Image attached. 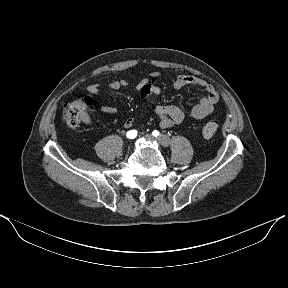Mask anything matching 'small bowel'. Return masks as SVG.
<instances>
[{
    "label": "small bowel",
    "mask_w": 288,
    "mask_h": 288,
    "mask_svg": "<svg viewBox=\"0 0 288 288\" xmlns=\"http://www.w3.org/2000/svg\"><path fill=\"white\" fill-rule=\"evenodd\" d=\"M153 78L160 77L158 72H152L150 74ZM171 82L174 88L180 89L184 86H194L204 91L205 96L195 104L188 113H185L179 107L173 105H159L155 109V113L159 118L160 126L162 128H170L182 123L185 119L200 120L209 115L215 105L219 101V94L215 88L207 83L205 80L193 76V75H177L171 78ZM134 84L135 89L139 92L142 98L149 96H159L161 94V88L153 85L148 80L143 79L138 82H134L129 79H115L107 84L110 89L117 90L122 87H128ZM88 92L93 95H99V84H92L88 87ZM100 109L106 113L113 115L116 113V108L101 104ZM136 118L131 117L124 121V127L126 129L133 128L135 126Z\"/></svg>",
    "instance_id": "c3829d8e"
}]
</instances>
